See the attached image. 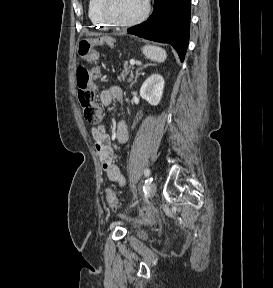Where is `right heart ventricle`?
<instances>
[{"label": "right heart ventricle", "mask_w": 273, "mask_h": 288, "mask_svg": "<svg viewBox=\"0 0 273 288\" xmlns=\"http://www.w3.org/2000/svg\"><path fill=\"white\" fill-rule=\"evenodd\" d=\"M101 0H89L88 16L92 24L98 28H108V24L102 19L100 15Z\"/></svg>", "instance_id": "right-heart-ventricle-1"}]
</instances>
